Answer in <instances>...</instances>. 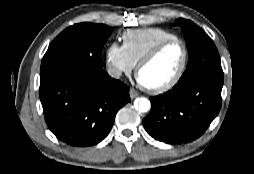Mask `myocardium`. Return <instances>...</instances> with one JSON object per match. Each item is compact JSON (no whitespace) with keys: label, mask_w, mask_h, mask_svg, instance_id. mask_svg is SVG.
<instances>
[{"label":"myocardium","mask_w":254,"mask_h":174,"mask_svg":"<svg viewBox=\"0 0 254 174\" xmlns=\"http://www.w3.org/2000/svg\"><path fill=\"white\" fill-rule=\"evenodd\" d=\"M173 43H179L181 44L182 48H183V59H182V63L181 66L179 68V70L177 71V73L175 74V76L169 80L168 82L159 85V86H147L143 83H141L140 81H138L141 85V87L153 94H161L164 92L169 91L170 89H172L174 86H176L179 81L181 80V78L183 77L186 68H187V64H188V59H189V50L188 47L186 45V43L176 37V38H172V39H168L165 41L160 42L159 44L155 45L138 63H137V67H136V77L138 79V74L140 72V70L145 67L146 65H148L150 62H152L158 55L159 53L167 46H169L170 44Z\"/></svg>","instance_id":"f54148a6"}]
</instances>
